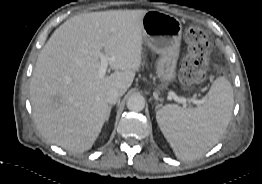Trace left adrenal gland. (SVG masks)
I'll list each match as a JSON object with an SVG mask.
<instances>
[{
    "label": "left adrenal gland",
    "mask_w": 262,
    "mask_h": 184,
    "mask_svg": "<svg viewBox=\"0 0 262 184\" xmlns=\"http://www.w3.org/2000/svg\"><path fill=\"white\" fill-rule=\"evenodd\" d=\"M158 108V105L155 107V109H157Z\"/></svg>",
    "instance_id": "a2214340"
}]
</instances>
